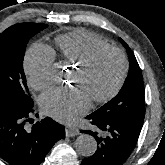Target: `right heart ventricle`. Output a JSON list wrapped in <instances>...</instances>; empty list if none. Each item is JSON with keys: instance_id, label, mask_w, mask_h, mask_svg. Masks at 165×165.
Wrapping results in <instances>:
<instances>
[{"instance_id": "e07e8e85", "label": "right heart ventricle", "mask_w": 165, "mask_h": 165, "mask_svg": "<svg viewBox=\"0 0 165 165\" xmlns=\"http://www.w3.org/2000/svg\"><path fill=\"white\" fill-rule=\"evenodd\" d=\"M105 44L103 39L85 29H75L55 38L59 55L74 64L80 62L93 48Z\"/></svg>"}]
</instances>
